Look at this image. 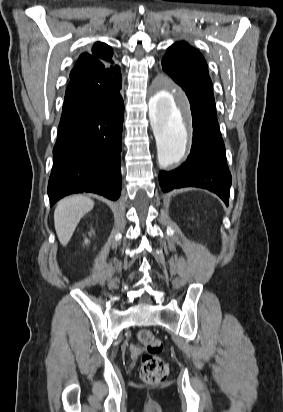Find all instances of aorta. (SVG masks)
Here are the masks:
<instances>
[{
    "mask_svg": "<svg viewBox=\"0 0 283 412\" xmlns=\"http://www.w3.org/2000/svg\"><path fill=\"white\" fill-rule=\"evenodd\" d=\"M149 118L156 139L158 162L166 168L185 155L189 109L182 92L161 85L149 99Z\"/></svg>",
    "mask_w": 283,
    "mask_h": 412,
    "instance_id": "762f6f07",
    "label": "aorta"
}]
</instances>
